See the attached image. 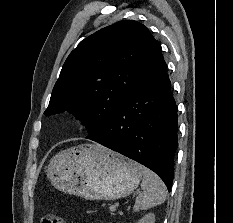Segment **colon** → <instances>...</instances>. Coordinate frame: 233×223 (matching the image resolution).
<instances>
[{
  "label": "colon",
  "instance_id": "obj_1",
  "mask_svg": "<svg viewBox=\"0 0 233 223\" xmlns=\"http://www.w3.org/2000/svg\"><path fill=\"white\" fill-rule=\"evenodd\" d=\"M41 223H65V220L62 216L50 214L44 216Z\"/></svg>",
  "mask_w": 233,
  "mask_h": 223
}]
</instances>
